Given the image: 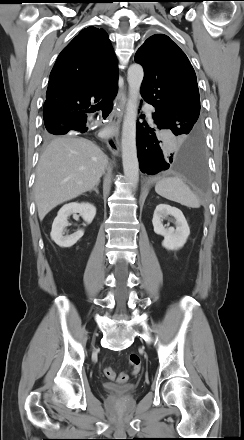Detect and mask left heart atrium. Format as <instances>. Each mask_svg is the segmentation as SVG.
Segmentation results:
<instances>
[{
  "instance_id": "1",
  "label": "left heart atrium",
  "mask_w": 244,
  "mask_h": 440,
  "mask_svg": "<svg viewBox=\"0 0 244 440\" xmlns=\"http://www.w3.org/2000/svg\"><path fill=\"white\" fill-rule=\"evenodd\" d=\"M105 133L106 134H111L112 133V129H110V128L106 129Z\"/></svg>"
}]
</instances>
